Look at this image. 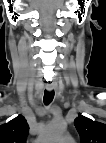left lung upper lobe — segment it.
<instances>
[{
	"instance_id": "5c2ea615",
	"label": "left lung upper lobe",
	"mask_w": 106,
	"mask_h": 143,
	"mask_svg": "<svg viewBox=\"0 0 106 143\" xmlns=\"http://www.w3.org/2000/svg\"><path fill=\"white\" fill-rule=\"evenodd\" d=\"M81 143H106V125L79 114L74 120Z\"/></svg>"
}]
</instances>
